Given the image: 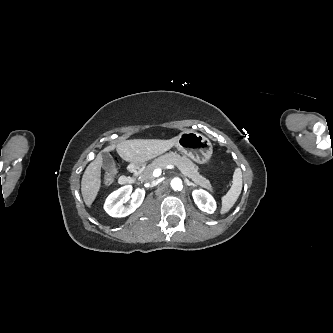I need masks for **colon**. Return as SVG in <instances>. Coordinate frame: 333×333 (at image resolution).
I'll return each instance as SVG.
<instances>
[{"instance_id":"1","label":"colon","mask_w":333,"mask_h":333,"mask_svg":"<svg viewBox=\"0 0 333 333\" xmlns=\"http://www.w3.org/2000/svg\"><path fill=\"white\" fill-rule=\"evenodd\" d=\"M115 174H116L115 168L106 172V174L104 175V179H103L104 184L105 185L111 184L112 181L114 180Z\"/></svg>"}]
</instances>
